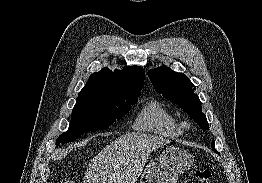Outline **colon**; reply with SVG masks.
<instances>
[{"mask_svg": "<svg viewBox=\"0 0 262 183\" xmlns=\"http://www.w3.org/2000/svg\"><path fill=\"white\" fill-rule=\"evenodd\" d=\"M211 178V172L206 169L197 170L194 172V179L197 183H208ZM59 183H74L71 180H63Z\"/></svg>", "mask_w": 262, "mask_h": 183, "instance_id": "1", "label": "colon"}]
</instances>
